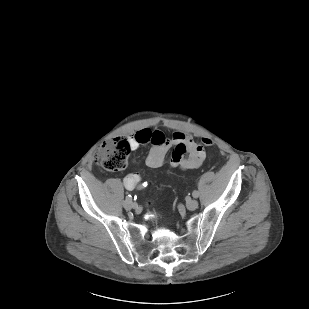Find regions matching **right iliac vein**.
I'll use <instances>...</instances> for the list:
<instances>
[{
  "mask_svg": "<svg viewBox=\"0 0 309 309\" xmlns=\"http://www.w3.org/2000/svg\"><path fill=\"white\" fill-rule=\"evenodd\" d=\"M123 206L126 209H132L136 207V203L133 202L132 200L125 199V201L123 202Z\"/></svg>",
  "mask_w": 309,
  "mask_h": 309,
  "instance_id": "1",
  "label": "right iliac vein"
}]
</instances>
